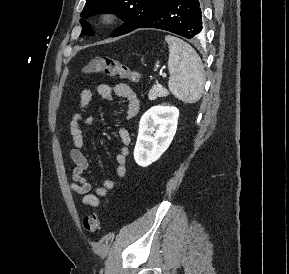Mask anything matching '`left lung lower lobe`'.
<instances>
[{
	"mask_svg": "<svg viewBox=\"0 0 289 274\" xmlns=\"http://www.w3.org/2000/svg\"><path fill=\"white\" fill-rule=\"evenodd\" d=\"M137 28L162 29L195 40L203 31L200 1L165 0Z\"/></svg>",
	"mask_w": 289,
	"mask_h": 274,
	"instance_id": "0a47b994",
	"label": "left lung lower lobe"
}]
</instances>
